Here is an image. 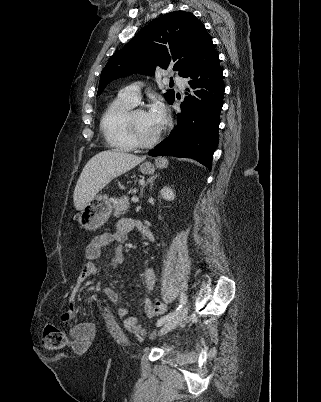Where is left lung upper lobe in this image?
Returning a JSON list of instances; mask_svg holds the SVG:
<instances>
[{
	"label": "left lung upper lobe",
	"mask_w": 321,
	"mask_h": 402,
	"mask_svg": "<svg viewBox=\"0 0 321 402\" xmlns=\"http://www.w3.org/2000/svg\"><path fill=\"white\" fill-rule=\"evenodd\" d=\"M204 24L192 13H167L140 30L122 50L112 55L102 70L97 96L112 80L134 73L154 74L172 67L182 76L210 39ZM168 103L175 93L164 94Z\"/></svg>",
	"instance_id": "1"
}]
</instances>
